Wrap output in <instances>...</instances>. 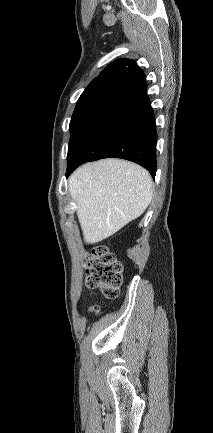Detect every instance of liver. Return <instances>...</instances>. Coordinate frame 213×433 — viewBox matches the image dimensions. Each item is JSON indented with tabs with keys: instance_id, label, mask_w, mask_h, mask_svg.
<instances>
[{
	"instance_id": "1",
	"label": "liver",
	"mask_w": 213,
	"mask_h": 433,
	"mask_svg": "<svg viewBox=\"0 0 213 433\" xmlns=\"http://www.w3.org/2000/svg\"><path fill=\"white\" fill-rule=\"evenodd\" d=\"M87 244L100 242L141 216L153 196V181L143 167L104 159L76 169L68 180Z\"/></svg>"
}]
</instances>
